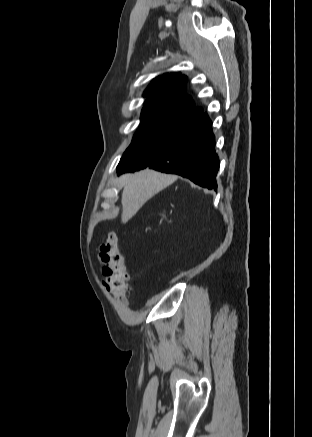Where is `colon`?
<instances>
[{
    "label": "colon",
    "instance_id": "1",
    "mask_svg": "<svg viewBox=\"0 0 312 437\" xmlns=\"http://www.w3.org/2000/svg\"><path fill=\"white\" fill-rule=\"evenodd\" d=\"M100 260L103 263L104 288L120 305H126L129 274L118 237L114 233H109L101 243Z\"/></svg>",
    "mask_w": 312,
    "mask_h": 437
}]
</instances>
